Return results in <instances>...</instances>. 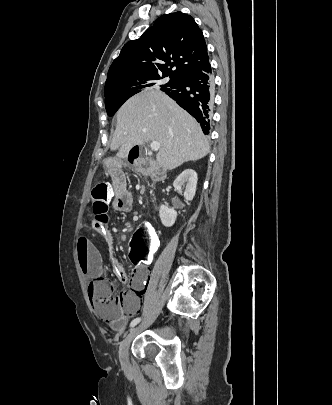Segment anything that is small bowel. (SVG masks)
Returning a JSON list of instances; mask_svg holds the SVG:
<instances>
[{"instance_id":"small-bowel-1","label":"small bowel","mask_w":332,"mask_h":405,"mask_svg":"<svg viewBox=\"0 0 332 405\" xmlns=\"http://www.w3.org/2000/svg\"><path fill=\"white\" fill-rule=\"evenodd\" d=\"M111 176L115 177L113 184L116 186L115 197H111V210L116 211L118 215H123L131 211L133 206V197L126 186V172L121 168H112ZM98 232L104 237L109 246H113V235L108 231L97 228ZM77 256L82 273L87 279H95L103 270L102 258L99 250L90 240L80 237L77 242ZM117 273L120 279L126 282L130 288L128 291L132 298L127 303L124 314L108 319L115 329H122L127 319L135 315L140 307V299L137 293H144L147 289L149 277L145 267H136L131 275H127L123 266L117 265Z\"/></svg>"}]
</instances>
